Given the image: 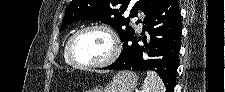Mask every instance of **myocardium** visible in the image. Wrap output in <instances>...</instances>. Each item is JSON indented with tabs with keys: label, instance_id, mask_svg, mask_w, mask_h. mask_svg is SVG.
<instances>
[{
	"label": "myocardium",
	"instance_id": "1",
	"mask_svg": "<svg viewBox=\"0 0 225 92\" xmlns=\"http://www.w3.org/2000/svg\"><path fill=\"white\" fill-rule=\"evenodd\" d=\"M89 30L103 31L109 36V38L111 40L112 52H111L110 56L108 58H106L105 60L100 61L98 63H83V62H80L75 57L74 52H73V47H74V44H75L76 40L79 38V36L81 34H83L86 31H89ZM119 54H120V43H119V39H118L116 33L114 32V30L112 28H110L107 25H103V24H91V25H87V26L82 27L81 29L76 31L70 37V39L68 41V44H67V55H68V58H69L71 64L73 66L83 68V69H98V68L107 67V66L113 64L116 61Z\"/></svg>",
	"mask_w": 225,
	"mask_h": 92
}]
</instances>
